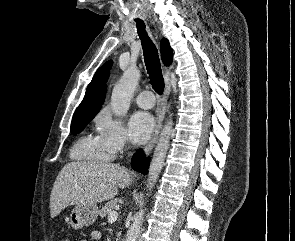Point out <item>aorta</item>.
<instances>
[{
  "label": "aorta",
  "instance_id": "obj_1",
  "mask_svg": "<svg viewBox=\"0 0 295 241\" xmlns=\"http://www.w3.org/2000/svg\"><path fill=\"white\" fill-rule=\"evenodd\" d=\"M140 71L136 67H129L122 75L119 82L114 86L111 95V109L115 116H123L130 107V101L133 93L140 80ZM172 119L167 120L159 141L155 147L151 160L148 176V189L154 187L157 182L170 144V136L172 132ZM144 211L140 210L134 216L131 226L129 227L125 241H136L143 222Z\"/></svg>",
  "mask_w": 295,
  "mask_h": 241
}]
</instances>
